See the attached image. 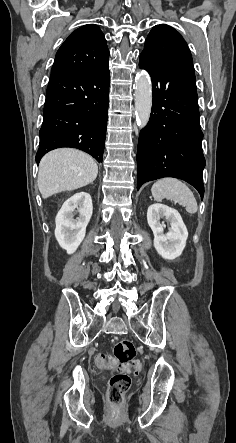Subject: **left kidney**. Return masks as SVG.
I'll use <instances>...</instances> for the list:
<instances>
[{"mask_svg":"<svg viewBox=\"0 0 236 443\" xmlns=\"http://www.w3.org/2000/svg\"><path fill=\"white\" fill-rule=\"evenodd\" d=\"M162 218H166L170 222L167 233H164L160 222ZM147 221L153 231L154 247L158 254L166 260H174L179 257L188 238L187 228L179 212L164 204H152L148 207Z\"/></svg>","mask_w":236,"mask_h":443,"instance_id":"obj_1","label":"left kidney"}]
</instances>
